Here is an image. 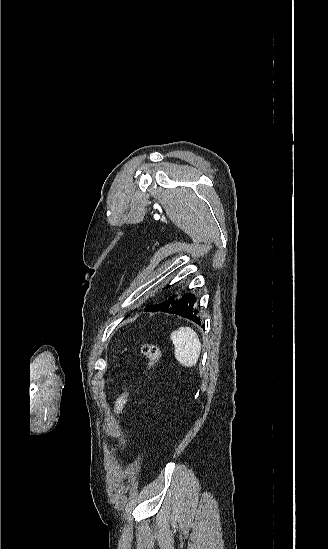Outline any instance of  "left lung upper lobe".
<instances>
[{"mask_svg": "<svg viewBox=\"0 0 328 549\" xmlns=\"http://www.w3.org/2000/svg\"><path fill=\"white\" fill-rule=\"evenodd\" d=\"M172 299H174V296H173V297H170L168 300L171 301Z\"/></svg>", "mask_w": 328, "mask_h": 549, "instance_id": "obj_1", "label": "left lung upper lobe"}]
</instances>
